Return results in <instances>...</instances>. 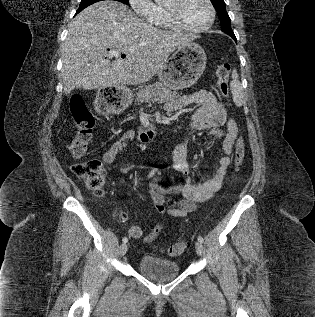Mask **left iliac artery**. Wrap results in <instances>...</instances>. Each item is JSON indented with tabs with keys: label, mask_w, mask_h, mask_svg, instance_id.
Returning a JSON list of instances; mask_svg holds the SVG:
<instances>
[{
	"label": "left iliac artery",
	"mask_w": 315,
	"mask_h": 317,
	"mask_svg": "<svg viewBox=\"0 0 315 317\" xmlns=\"http://www.w3.org/2000/svg\"><path fill=\"white\" fill-rule=\"evenodd\" d=\"M198 241H200L201 243H203L204 239L202 236H198Z\"/></svg>",
	"instance_id": "1"
}]
</instances>
